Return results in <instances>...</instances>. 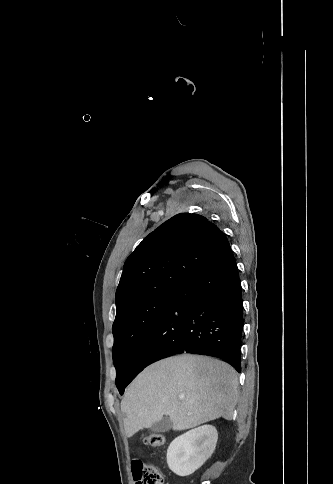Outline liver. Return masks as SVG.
<instances>
[{"label":"liver","instance_id":"liver-1","mask_svg":"<svg viewBox=\"0 0 333 484\" xmlns=\"http://www.w3.org/2000/svg\"><path fill=\"white\" fill-rule=\"evenodd\" d=\"M237 388V372L223 361L189 354L158 361L126 389L121 401L126 436L152 427L163 416H169L175 431L220 417L232 420Z\"/></svg>","mask_w":333,"mask_h":484}]
</instances>
